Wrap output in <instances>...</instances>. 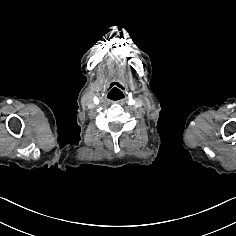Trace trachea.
Returning a JSON list of instances; mask_svg holds the SVG:
<instances>
[{
  "mask_svg": "<svg viewBox=\"0 0 236 236\" xmlns=\"http://www.w3.org/2000/svg\"><path fill=\"white\" fill-rule=\"evenodd\" d=\"M125 97V92L122 89L114 88L107 93V99L110 102H115L116 100H122Z\"/></svg>",
  "mask_w": 236,
  "mask_h": 236,
  "instance_id": "trachea-1",
  "label": "trachea"
}]
</instances>
